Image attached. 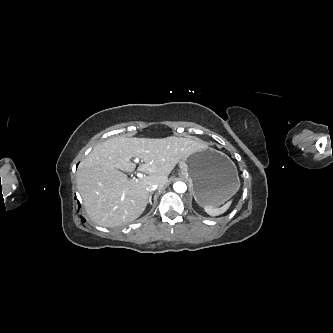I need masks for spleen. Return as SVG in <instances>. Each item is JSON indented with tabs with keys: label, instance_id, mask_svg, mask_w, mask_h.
<instances>
[{
	"label": "spleen",
	"instance_id": "3e777b00",
	"mask_svg": "<svg viewBox=\"0 0 333 333\" xmlns=\"http://www.w3.org/2000/svg\"><path fill=\"white\" fill-rule=\"evenodd\" d=\"M240 187V181H238V189ZM232 201L227 202L225 205H223L222 207L216 208V207H212V206H205L204 209L206 211L207 214L211 215V216H218L223 214L224 212H226L228 210V208L230 207Z\"/></svg>",
	"mask_w": 333,
	"mask_h": 333
}]
</instances>
